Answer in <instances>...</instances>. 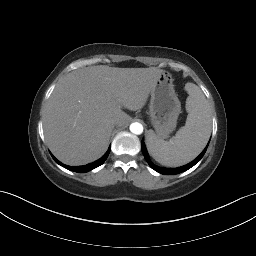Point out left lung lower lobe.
I'll use <instances>...</instances> for the list:
<instances>
[{"label":"left lung lower lobe","mask_w":256,"mask_h":256,"mask_svg":"<svg viewBox=\"0 0 256 256\" xmlns=\"http://www.w3.org/2000/svg\"><path fill=\"white\" fill-rule=\"evenodd\" d=\"M207 147H208V145L205 147V149L201 152V154L196 159H194L192 162H190L187 165H184V166H181L178 168H163V167L156 166L155 164H153L150 161L144 141L142 140V142H141L142 153H143L147 163L150 165V167L161 174H168V175L179 174V173L184 172V171L188 170L189 168L193 167L203 157V155L206 152Z\"/></svg>","instance_id":"0a47b994"}]
</instances>
